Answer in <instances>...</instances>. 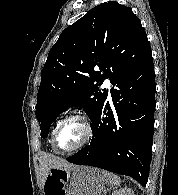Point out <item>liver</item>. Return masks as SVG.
Wrapping results in <instances>:
<instances>
[{
    "instance_id": "6515ba94",
    "label": "liver",
    "mask_w": 178,
    "mask_h": 195,
    "mask_svg": "<svg viewBox=\"0 0 178 195\" xmlns=\"http://www.w3.org/2000/svg\"><path fill=\"white\" fill-rule=\"evenodd\" d=\"M40 162L41 171L43 175L42 181L43 183L45 182V179L48 176L50 169L52 168L72 169L74 167L73 164L68 163L66 160L48 154H43Z\"/></svg>"
}]
</instances>
